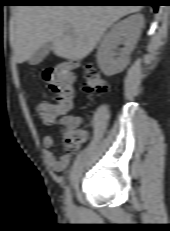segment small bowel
<instances>
[{
    "mask_svg": "<svg viewBox=\"0 0 170 231\" xmlns=\"http://www.w3.org/2000/svg\"><path fill=\"white\" fill-rule=\"evenodd\" d=\"M51 124H58L67 128L74 125H80L81 118L79 116L64 113L59 119L55 120ZM43 144L45 147V159L49 167L56 172L63 171L69 165L71 161V152L74 149H69V152H66L61 156H56L53 151L55 140L51 135H46L44 137Z\"/></svg>",
    "mask_w": 170,
    "mask_h": 231,
    "instance_id": "small-bowel-1",
    "label": "small bowel"
}]
</instances>
